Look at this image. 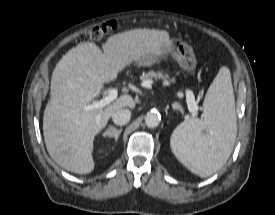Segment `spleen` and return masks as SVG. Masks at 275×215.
<instances>
[{"label": "spleen", "instance_id": "obj_1", "mask_svg": "<svg viewBox=\"0 0 275 215\" xmlns=\"http://www.w3.org/2000/svg\"><path fill=\"white\" fill-rule=\"evenodd\" d=\"M201 119L191 118L173 131L170 145L191 172L208 177L229 159L237 134L234 92L227 67L220 68L203 103Z\"/></svg>", "mask_w": 275, "mask_h": 215}]
</instances>
